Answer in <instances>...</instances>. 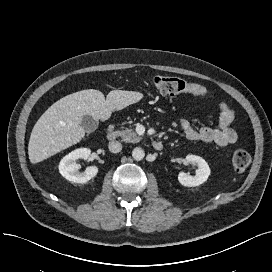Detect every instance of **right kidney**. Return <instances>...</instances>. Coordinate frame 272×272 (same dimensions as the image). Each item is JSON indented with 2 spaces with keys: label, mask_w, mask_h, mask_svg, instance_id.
I'll list each match as a JSON object with an SVG mask.
<instances>
[{
  "label": "right kidney",
  "mask_w": 272,
  "mask_h": 272,
  "mask_svg": "<svg viewBox=\"0 0 272 272\" xmlns=\"http://www.w3.org/2000/svg\"><path fill=\"white\" fill-rule=\"evenodd\" d=\"M91 154L88 148H79L65 157L59 163V172L67 180L74 183H86L94 178L98 173V167L89 166L84 172H79V165L76 163L78 159H87Z\"/></svg>",
  "instance_id": "1"
}]
</instances>
